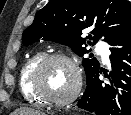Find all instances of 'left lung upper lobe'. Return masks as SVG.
Returning <instances> with one entry per match:
<instances>
[{
    "mask_svg": "<svg viewBox=\"0 0 131 115\" xmlns=\"http://www.w3.org/2000/svg\"><path fill=\"white\" fill-rule=\"evenodd\" d=\"M131 25V10L126 0H50L39 10L33 23L24 31L22 43L29 45L40 39L66 44L82 57L104 37L110 42ZM90 29L89 40L81 37ZM87 80L99 69L96 58H83Z\"/></svg>",
    "mask_w": 131,
    "mask_h": 115,
    "instance_id": "5c2ea615",
    "label": "left lung upper lobe"
}]
</instances>
